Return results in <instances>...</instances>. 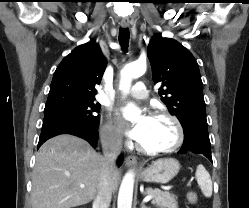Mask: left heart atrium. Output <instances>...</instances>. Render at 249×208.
I'll use <instances>...</instances> for the list:
<instances>
[{
    "label": "left heart atrium",
    "mask_w": 249,
    "mask_h": 208,
    "mask_svg": "<svg viewBox=\"0 0 249 208\" xmlns=\"http://www.w3.org/2000/svg\"><path fill=\"white\" fill-rule=\"evenodd\" d=\"M148 116L142 117L137 123L131 126L122 125V129L124 133L131 139L139 142L145 135L147 123H148Z\"/></svg>",
    "instance_id": "left-heart-atrium-1"
}]
</instances>
